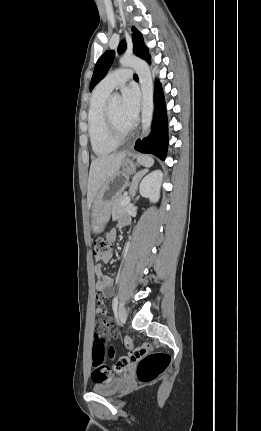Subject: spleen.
<instances>
[{
	"instance_id": "obj_1",
	"label": "spleen",
	"mask_w": 261,
	"mask_h": 431,
	"mask_svg": "<svg viewBox=\"0 0 261 431\" xmlns=\"http://www.w3.org/2000/svg\"><path fill=\"white\" fill-rule=\"evenodd\" d=\"M140 162L142 163V164H144L145 166H147V167H150V166H152L153 165V159L151 158V157H143L141 160H140Z\"/></svg>"
}]
</instances>
